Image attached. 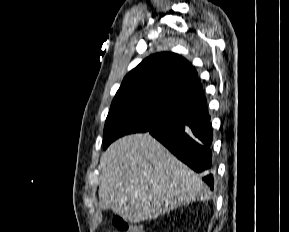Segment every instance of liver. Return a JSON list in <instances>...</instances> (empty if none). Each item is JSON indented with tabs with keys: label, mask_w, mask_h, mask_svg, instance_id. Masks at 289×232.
<instances>
[{
	"label": "liver",
	"mask_w": 289,
	"mask_h": 232,
	"mask_svg": "<svg viewBox=\"0 0 289 232\" xmlns=\"http://www.w3.org/2000/svg\"><path fill=\"white\" fill-rule=\"evenodd\" d=\"M99 200L126 221H150L210 191L149 133L127 135L101 155Z\"/></svg>",
	"instance_id": "6515ba94"
}]
</instances>
